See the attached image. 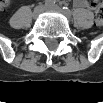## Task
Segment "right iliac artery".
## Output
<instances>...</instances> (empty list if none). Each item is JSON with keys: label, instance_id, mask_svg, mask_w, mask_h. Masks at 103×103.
Listing matches in <instances>:
<instances>
[{"label": "right iliac artery", "instance_id": "82829eb1", "mask_svg": "<svg viewBox=\"0 0 103 103\" xmlns=\"http://www.w3.org/2000/svg\"><path fill=\"white\" fill-rule=\"evenodd\" d=\"M55 4V1L54 0H46L45 1V5L46 6H53Z\"/></svg>", "mask_w": 103, "mask_h": 103}]
</instances>
